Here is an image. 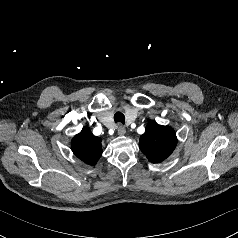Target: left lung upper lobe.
Wrapping results in <instances>:
<instances>
[{"label":"left lung upper lobe","mask_w":238,"mask_h":238,"mask_svg":"<svg viewBox=\"0 0 238 238\" xmlns=\"http://www.w3.org/2000/svg\"><path fill=\"white\" fill-rule=\"evenodd\" d=\"M177 144L173 128L150 121L140 137L139 148L152 163H160L171 155Z\"/></svg>","instance_id":"1"}]
</instances>
